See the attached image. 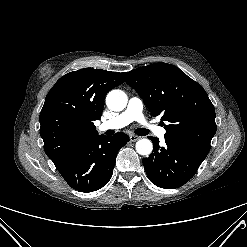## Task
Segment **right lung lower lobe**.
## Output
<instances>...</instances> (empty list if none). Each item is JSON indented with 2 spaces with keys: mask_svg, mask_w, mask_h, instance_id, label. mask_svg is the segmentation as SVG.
<instances>
[{
  "mask_svg": "<svg viewBox=\"0 0 247 247\" xmlns=\"http://www.w3.org/2000/svg\"><path fill=\"white\" fill-rule=\"evenodd\" d=\"M128 141L123 132L98 135L80 144L56 168L75 190L96 191L111 179L117 153Z\"/></svg>",
  "mask_w": 247,
  "mask_h": 247,
  "instance_id": "right-lung-lower-lobe-1",
  "label": "right lung lower lobe"
}]
</instances>
